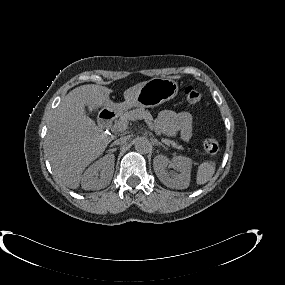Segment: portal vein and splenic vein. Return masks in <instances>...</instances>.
Masks as SVG:
<instances>
[{
	"label": "portal vein and splenic vein",
	"instance_id": "1",
	"mask_svg": "<svg viewBox=\"0 0 285 285\" xmlns=\"http://www.w3.org/2000/svg\"><path fill=\"white\" fill-rule=\"evenodd\" d=\"M146 123L148 124V126H149L150 128H152V126H151L152 124H151L149 121L146 120ZM121 127L124 128V129L127 128L126 125H122Z\"/></svg>",
	"mask_w": 285,
	"mask_h": 285
}]
</instances>
